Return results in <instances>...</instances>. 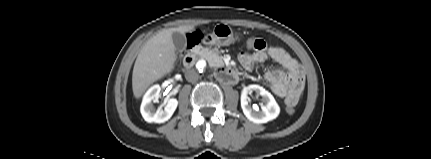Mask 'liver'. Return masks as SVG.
Returning <instances> with one entry per match:
<instances>
[{"label": "liver", "mask_w": 431, "mask_h": 159, "mask_svg": "<svg viewBox=\"0 0 431 159\" xmlns=\"http://www.w3.org/2000/svg\"><path fill=\"white\" fill-rule=\"evenodd\" d=\"M195 29L191 26L163 29L150 38L140 50L132 74V90L139 99L154 82L171 73L177 59L172 35L185 34Z\"/></svg>", "instance_id": "obj_1"}]
</instances>
